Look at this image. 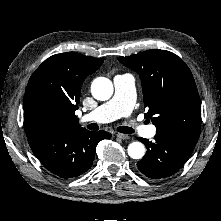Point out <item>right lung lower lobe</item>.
I'll list each match as a JSON object with an SVG mask.
<instances>
[{
	"mask_svg": "<svg viewBox=\"0 0 221 221\" xmlns=\"http://www.w3.org/2000/svg\"><path fill=\"white\" fill-rule=\"evenodd\" d=\"M26 135L32 151L42 164L64 179L85 173L93 163L97 144L111 137L105 131L50 127L30 130Z\"/></svg>",
	"mask_w": 221,
	"mask_h": 221,
	"instance_id": "1",
	"label": "right lung lower lobe"
}]
</instances>
